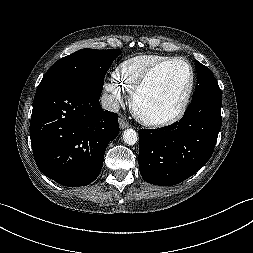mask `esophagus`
Segmentation results:
<instances>
[{
	"label": "esophagus",
	"mask_w": 253,
	"mask_h": 253,
	"mask_svg": "<svg viewBox=\"0 0 253 253\" xmlns=\"http://www.w3.org/2000/svg\"><path fill=\"white\" fill-rule=\"evenodd\" d=\"M119 126H120L121 129H126V128L129 127V123H128V121L126 120L125 117L121 116V117L119 118Z\"/></svg>",
	"instance_id": "obj_1"
}]
</instances>
